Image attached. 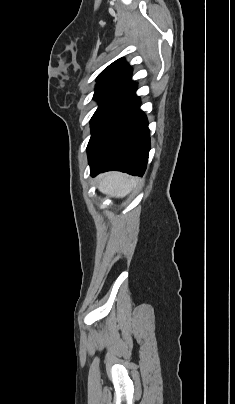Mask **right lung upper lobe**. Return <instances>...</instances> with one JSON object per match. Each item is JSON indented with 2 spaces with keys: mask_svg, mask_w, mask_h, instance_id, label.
Returning <instances> with one entry per match:
<instances>
[{
  "mask_svg": "<svg viewBox=\"0 0 235 404\" xmlns=\"http://www.w3.org/2000/svg\"><path fill=\"white\" fill-rule=\"evenodd\" d=\"M132 69L123 58H120L104 69L97 78L98 85H131Z\"/></svg>",
  "mask_w": 235,
  "mask_h": 404,
  "instance_id": "obj_1",
  "label": "right lung upper lobe"
}]
</instances>
